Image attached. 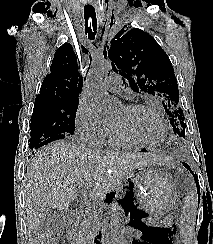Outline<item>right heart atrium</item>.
Instances as JSON below:
<instances>
[{"instance_id": "right-heart-atrium-1", "label": "right heart atrium", "mask_w": 213, "mask_h": 244, "mask_svg": "<svg viewBox=\"0 0 213 244\" xmlns=\"http://www.w3.org/2000/svg\"><path fill=\"white\" fill-rule=\"evenodd\" d=\"M111 125L103 119L88 102H82L75 117V137L85 143L100 145L105 140Z\"/></svg>"}]
</instances>
